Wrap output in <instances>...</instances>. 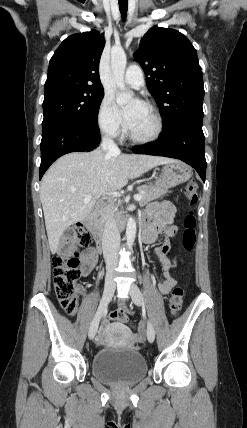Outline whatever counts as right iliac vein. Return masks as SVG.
<instances>
[{
    "mask_svg": "<svg viewBox=\"0 0 247 428\" xmlns=\"http://www.w3.org/2000/svg\"><path fill=\"white\" fill-rule=\"evenodd\" d=\"M114 291H115V282L113 280V275L109 274V275H107L106 280H105L103 296H102V299L100 301L98 311H97L96 315L94 316V318L90 324V327H89V332H88L89 339H93L94 336L96 335L100 319H101V317H102V315H103Z\"/></svg>",
    "mask_w": 247,
    "mask_h": 428,
    "instance_id": "obj_1",
    "label": "right iliac vein"
}]
</instances>
